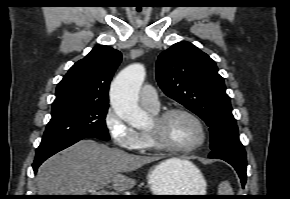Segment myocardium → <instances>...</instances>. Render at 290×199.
<instances>
[{
  "instance_id": "f54148a6",
  "label": "myocardium",
  "mask_w": 290,
  "mask_h": 199,
  "mask_svg": "<svg viewBox=\"0 0 290 199\" xmlns=\"http://www.w3.org/2000/svg\"><path fill=\"white\" fill-rule=\"evenodd\" d=\"M174 114L186 115L197 124L200 130L201 136H200V140L196 144L190 147H186V148H178V147L170 146L164 143L160 139L162 126L167 121V119ZM153 120L155 122V128L153 130H147L146 134L149 138L152 148L156 151H160V152H164L168 154H174V155H187L203 147L207 141L208 134H207V129L203 121L194 112H192L189 109H186L183 107L168 108L163 111L155 113L153 115Z\"/></svg>"
}]
</instances>
